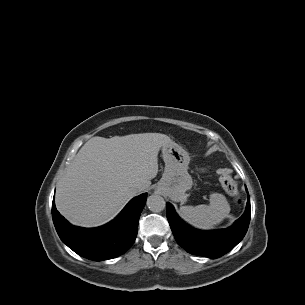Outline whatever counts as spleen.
<instances>
[{"instance_id": "obj_1", "label": "spleen", "mask_w": 305, "mask_h": 305, "mask_svg": "<svg viewBox=\"0 0 305 305\" xmlns=\"http://www.w3.org/2000/svg\"><path fill=\"white\" fill-rule=\"evenodd\" d=\"M229 212L230 206L225 196L219 193L210 195L209 205L182 206L178 211L185 222L203 230L211 229L221 223Z\"/></svg>"}]
</instances>
